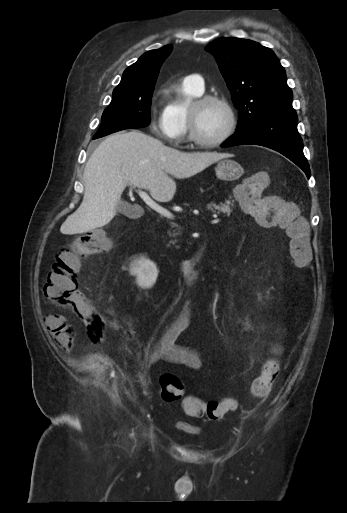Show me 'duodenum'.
Wrapping results in <instances>:
<instances>
[{"label":"duodenum","instance_id":"obj_1","mask_svg":"<svg viewBox=\"0 0 347 513\" xmlns=\"http://www.w3.org/2000/svg\"><path fill=\"white\" fill-rule=\"evenodd\" d=\"M204 251V248H201L190 258L182 260L178 263V274L183 280L188 281L196 276V266L202 259Z\"/></svg>","mask_w":347,"mask_h":513}]
</instances>
